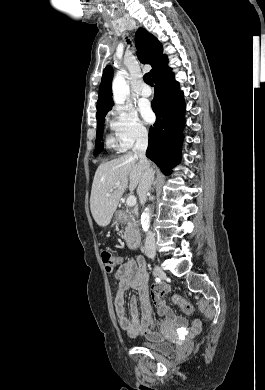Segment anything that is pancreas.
I'll return each instance as SVG.
<instances>
[{"label":"pancreas","instance_id":"1","mask_svg":"<svg viewBox=\"0 0 265 390\" xmlns=\"http://www.w3.org/2000/svg\"><path fill=\"white\" fill-rule=\"evenodd\" d=\"M122 224L123 225L127 224V227L125 228V232L123 235V237L126 238L127 233L130 230H134L137 227V221H136L135 215L132 211H130V210L126 211V220L124 222H122Z\"/></svg>","mask_w":265,"mask_h":390}]
</instances>
